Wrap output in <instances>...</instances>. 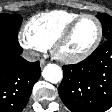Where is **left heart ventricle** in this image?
<instances>
[{
    "mask_svg": "<svg viewBox=\"0 0 112 112\" xmlns=\"http://www.w3.org/2000/svg\"><path fill=\"white\" fill-rule=\"evenodd\" d=\"M97 35V24L92 18L82 19L60 48L61 54L75 56L86 51Z\"/></svg>",
    "mask_w": 112,
    "mask_h": 112,
    "instance_id": "1",
    "label": "left heart ventricle"
}]
</instances>
